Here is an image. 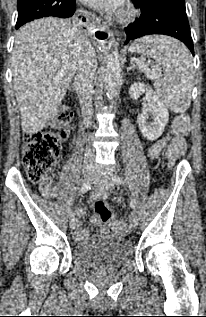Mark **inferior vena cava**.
Segmentation results:
<instances>
[{
	"label": "inferior vena cava",
	"mask_w": 206,
	"mask_h": 317,
	"mask_svg": "<svg viewBox=\"0 0 206 317\" xmlns=\"http://www.w3.org/2000/svg\"><path fill=\"white\" fill-rule=\"evenodd\" d=\"M75 56L77 59L75 88L80 101L85 126L89 127L93 114L91 91L97 69V60L93 47L83 36L79 37ZM93 165L94 154L90 148H87L84 157V166L91 167Z\"/></svg>",
	"instance_id": "1"
}]
</instances>
